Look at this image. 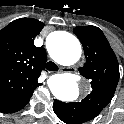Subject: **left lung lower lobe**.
Instances as JSON below:
<instances>
[{"mask_svg":"<svg viewBox=\"0 0 124 124\" xmlns=\"http://www.w3.org/2000/svg\"><path fill=\"white\" fill-rule=\"evenodd\" d=\"M53 110H54L55 114L59 117V111H58L57 100L54 101ZM59 118H60V117H59Z\"/></svg>","mask_w":124,"mask_h":124,"instance_id":"obj_1","label":"left lung lower lobe"}]
</instances>
